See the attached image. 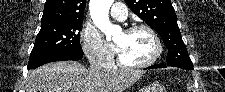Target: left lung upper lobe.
Instances as JSON below:
<instances>
[{
    "label": "left lung upper lobe",
    "mask_w": 225,
    "mask_h": 92,
    "mask_svg": "<svg viewBox=\"0 0 225 92\" xmlns=\"http://www.w3.org/2000/svg\"><path fill=\"white\" fill-rule=\"evenodd\" d=\"M129 8L161 36L168 64H192L170 0H125Z\"/></svg>",
    "instance_id": "obj_1"
}]
</instances>
